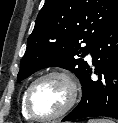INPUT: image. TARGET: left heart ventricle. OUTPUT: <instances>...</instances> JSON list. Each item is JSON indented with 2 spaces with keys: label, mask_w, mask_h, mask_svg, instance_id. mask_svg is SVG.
<instances>
[{
  "label": "left heart ventricle",
  "mask_w": 118,
  "mask_h": 123,
  "mask_svg": "<svg viewBox=\"0 0 118 123\" xmlns=\"http://www.w3.org/2000/svg\"><path fill=\"white\" fill-rule=\"evenodd\" d=\"M69 97L70 89L67 83L59 77H50L35 87L31 103L37 115L51 116L63 109Z\"/></svg>",
  "instance_id": "obj_1"
}]
</instances>
